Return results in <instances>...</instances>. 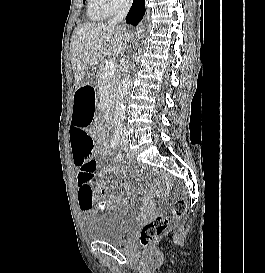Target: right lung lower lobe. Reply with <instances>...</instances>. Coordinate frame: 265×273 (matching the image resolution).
<instances>
[{
  "label": "right lung lower lobe",
  "mask_w": 265,
  "mask_h": 273,
  "mask_svg": "<svg viewBox=\"0 0 265 273\" xmlns=\"http://www.w3.org/2000/svg\"><path fill=\"white\" fill-rule=\"evenodd\" d=\"M145 14V0H134L131 9L126 16V22L133 26L140 21Z\"/></svg>",
  "instance_id": "1"
}]
</instances>
